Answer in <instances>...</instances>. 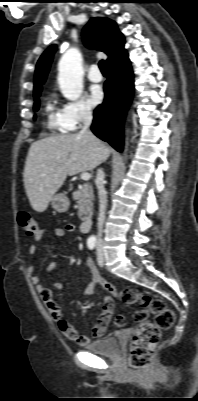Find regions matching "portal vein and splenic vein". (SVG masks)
<instances>
[{"label": "portal vein and splenic vein", "instance_id": "1", "mask_svg": "<svg viewBox=\"0 0 198 401\" xmlns=\"http://www.w3.org/2000/svg\"><path fill=\"white\" fill-rule=\"evenodd\" d=\"M90 177H91V175H90V173H88V172H83V173L81 174V179H82L83 181H88V180L90 179Z\"/></svg>", "mask_w": 198, "mask_h": 401}]
</instances>
